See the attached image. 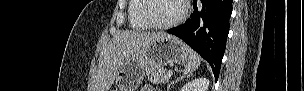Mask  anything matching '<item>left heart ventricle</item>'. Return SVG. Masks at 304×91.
Here are the masks:
<instances>
[{
    "label": "left heart ventricle",
    "mask_w": 304,
    "mask_h": 91,
    "mask_svg": "<svg viewBox=\"0 0 304 91\" xmlns=\"http://www.w3.org/2000/svg\"><path fill=\"white\" fill-rule=\"evenodd\" d=\"M182 11L179 0H150L148 15L157 24H165L177 18Z\"/></svg>",
    "instance_id": "b2bd125f"
}]
</instances>
